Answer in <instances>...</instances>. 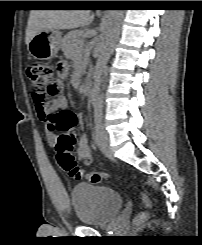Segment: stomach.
<instances>
[{"label": "stomach", "instance_id": "obj_1", "mask_svg": "<svg viewBox=\"0 0 202 245\" xmlns=\"http://www.w3.org/2000/svg\"><path fill=\"white\" fill-rule=\"evenodd\" d=\"M62 37L56 30H44L36 34L28 44L31 56L38 60H49L56 56Z\"/></svg>", "mask_w": 202, "mask_h": 245}]
</instances>
